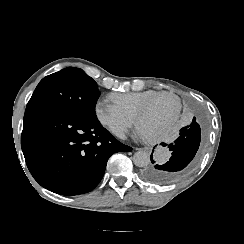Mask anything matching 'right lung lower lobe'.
Masks as SVG:
<instances>
[{"label":"right lung lower lobe","instance_id":"right-lung-lower-lobe-1","mask_svg":"<svg viewBox=\"0 0 244 244\" xmlns=\"http://www.w3.org/2000/svg\"><path fill=\"white\" fill-rule=\"evenodd\" d=\"M21 147L34 179L62 195L93 190L104 175L109 157L132 150L115 139L97 118L47 106L26 107Z\"/></svg>","mask_w":244,"mask_h":244}]
</instances>
